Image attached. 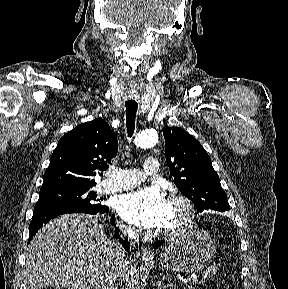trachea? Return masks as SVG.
Returning <instances> with one entry per match:
<instances>
[{
  "instance_id": "3493384b",
  "label": "trachea",
  "mask_w": 288,
  "mask_h": 289,
  "mask_svg": "<svg viewBox=\"0 0 288 289\" xmlns=\"http://www.w3.org/2000/svg\"><path fill=\"white\" fill-rule=\"evenodd\" d=\"M126 107V126L128 137H132L135 129V117L138 108V103L135 101H128L125 103Z\"/></svg>"
}]
</instances>
